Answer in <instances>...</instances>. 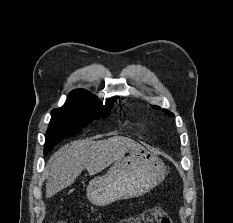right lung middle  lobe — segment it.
Wrapping results in <instances>:
<instances>
[{"instance_id": "right-lung-middle-lobe-1", "label": "right lung middle lobe", "mask_w": 233, "mask_h": 223, "mask_svg": "<svg viewBox=\"0 0 233 223\" xmlns=\"http://www.w3.org/2000/svg\"><path fill=\"white\" fill-rule=\"evenodd\" d=\"M112 105H88L65 103L51 111L44 152L52 150L62 139L79 133L90 122L105 117Z\"/></svg>"}]
</instances>
